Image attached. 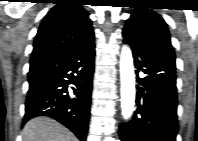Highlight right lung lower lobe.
<instances>
[{
	"label": "right lung lower lobe",
	"mask_w": 198,
	"mask_h": 141,
	"mask_svg": "<svg viewBox=\"0 0 198 141\" xmlns=\"http://www.w3.org/2000/svg\"><path fill=\"white\" fill-rule=\"evenodd\" d=\"M94 33L72 46L30 62L23 123L48 116L85 141L94 73Z\"/></svg>",
	"instance_id": "obj_1"
}]
</instances>
